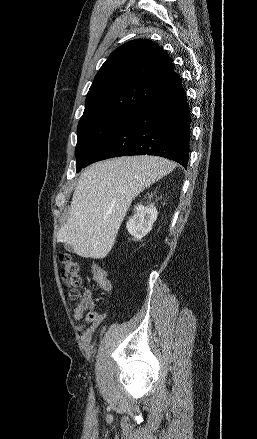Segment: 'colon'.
Here are the masks:
<instances>
[{
	"label": "colon",
	"mask_w": 257,
	"mask_h": 439,
	"mask_svg": "<svg viewBox=\"0 0 257 439\" xmlns=\"http://www.w3.org/2000/svg\"><path fill=\"white\" fill-rule=\"evenodd\" d=\"M60 272L62 279L67 288V298L71 303L77 304L78 307L82 305L83 295L82 289V276L80 274L81 264L73 259L68 254L59 255ZM93 276L97 285L104 291L110 289V281L106 272L99 266H94Z\"/></svg>",
	"instance_id": "obj_1"
}]
</instances>
